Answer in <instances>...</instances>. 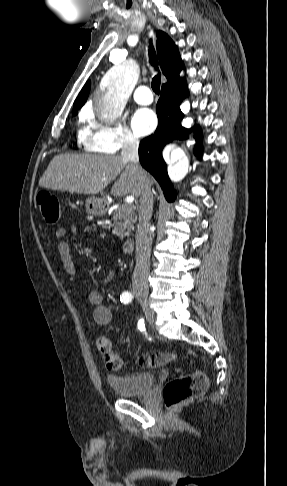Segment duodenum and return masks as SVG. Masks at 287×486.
Masks as SVG:
<instances>
[{
  "mask_svg": "<svg viewBox=\"0 0 287 486\" xmlns=\"http://www.w3.org/2000/svg\"><path fill=\"white\" fill-rule=\"evenodd\" d=\"M134 249V239L132 237L127 238L122 246V250L124 253L128 254L131 253Z\"/></svg>",
  "mask_w": 287,
  "mask_h": 486,
  "instance_id": "duodenum-1",
  "label": "duodenum"
}]
</instances>
